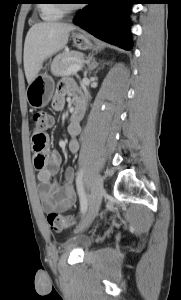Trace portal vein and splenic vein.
Instances as JSON below:
<instances>
[{
	"instance_id": "obj_1",
	"label": "portal vein and splenic vein",
	"mask_w": 181,
	"mask_h": 300,
	"mask_svg": "<svg viewBox=\"0 0 181 300\" xmlns=\"http://www.w3.org/2000/svg\"><path fill=\"white\" fill-rule=\"evenodd\" d=\"M82 68L81 64H73L68 70L67 75L75 74Z\"/></svg>"
}]
</instances>
